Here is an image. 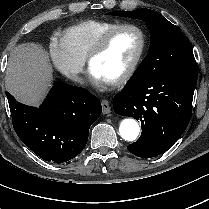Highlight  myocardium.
I'll return each instance as SVG.
<instances>
[{"instance_id":"1","label":"myocardium","mask_w":209,"mask_h":209,"mask_svg":"<svg viewBox=\"0 0 209 209\" xmlns=\"http://www.w3.org/2000/svg\"><path fill=\"white\" fill-rule=\"evenodd\" d=\"M126 29H133L139 33L140 47H139V50H138L136 56L134 57L131 65L129 66V68L126 70V72L122 76H120L114 80L105 81L107 84L112 85V86H119V85L126 84L136 74L138 67L144 57L146 48H147V35H146L145 31L140 26L133 24V23L118 24V25L110 28L109 30H107L97 40V42L92 47V49L90 50V52L88 53V55L86 57L87 64L91 68L92 62L94 61L95 58H97L106 49V47L108 46L113 35L121 30H126Z\"/></svg>"}]
</instances>
